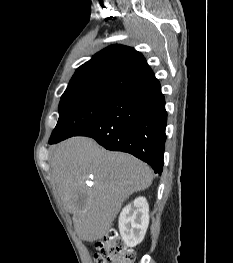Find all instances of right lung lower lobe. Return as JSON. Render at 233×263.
Listing matches in <instances>:
<instances>
[{"mask_svg": "<svg viewBox=\"0 0 233 263\" xmlns=\"http://www.w3.org/2000/svg\"><path fill=\"white\" fill-rule=\"evenodd\" d=\"M166 123L164 95L154 77L119 93L96 121L74 136L92 137L108 150L128 152L161 173Z\"/></svg>", "mask_w": 233, "mask_h": 263, "instance_id": "right-lung-lower-lobe-1", "label": "right lung lower lobe"}]
</instances>
